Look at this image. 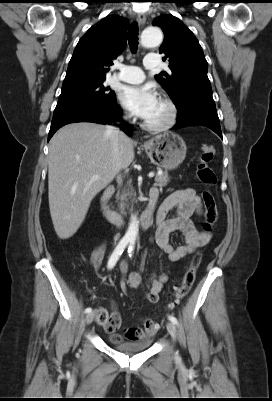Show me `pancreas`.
Masks as SVG:
<instances>
[{"label": "pancreas", "mask_w": 272, "mask_h": 401, "mask_svg": "<svg viewBox=\"0 0 272 401\" xmlns=\"http://www.w3.org/2000/svg\"><path fill=\"white\" fill-rule=\"evenodd\" d=\"M169 180H170V178L168 176V173L165 171V172H163L161 174H157L156 175L155 184L157 186H159V187H164V186H166L168 184ZM134 196H135V193H134V191H133L131 186H129L128 189H124L121 192V194L117 195V199L120 200V210H121L122 213L124 212V209H125V206H126L125 202H127L128 199L132 198V197H133L132 201H134Z\"/></svg>", "instance_id": "pancreas-1"}]
</instances>
